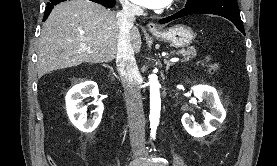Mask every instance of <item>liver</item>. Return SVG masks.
Masks as SVG:
<instances>
[{"instance_id": "liver-1", "label": "liver", "mask_w": 277, "mask_h": 166, "mask_svg": "<svg viewBox=\"0 0 277 166\" xmlns=\"http://www.w3.org/2000/svg\"><path fill=\"white\" fill-rule=\"evenodd\" d=\"M119 24L116 13L89 0L60 3L45 21L38 44V77L82 63L113 61L117 54ZM135 53L141 49L136 27L130 30ZM89 48L94 53H88Z\"/></svg>"}]
</instances>
